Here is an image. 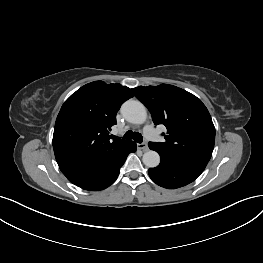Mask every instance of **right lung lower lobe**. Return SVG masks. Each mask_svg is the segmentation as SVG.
Wrapping results in <instances>:
<instances>
[{
	"label": "right lung lower lobe",
	"instance_id": "1",
	"mask_svg": "<svg viewBox=\"0 0 263 263\" xmlns=\"http://www.w3.org/2000/svg\"><path fill=\"white\" fill-rule=\"evenodd\" d=\"M136 149V143L129 141L119 150L107 155L102 160L64 175L70 182L82 189L90 191L103 190L114 183L127 156L135 152Z\"/></svg>",
	"mask_w": 263,
	"mask_h": 263
}]
</instances>
